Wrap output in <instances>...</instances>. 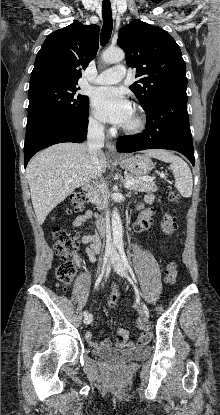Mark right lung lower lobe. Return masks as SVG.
<instances>
[{
    "mask_svg": "<svg viewBox=\"0 0 220 415\" xmlns=\"http://www.w3.org/2000/svg\"><path fill=\"white\" fill-rule=\"evenodd\" d=\"M88 111L86 116L77 122L65 123L58 118L49 119L26 130L24 143V166L38 151L56 143H81L87 137Z\"/></svg>",
    "mask_w": 220,
    "mask_h": 415,
    "instance_id": "1",
    "label": "right lung lower lobe"
}]
</instances>
